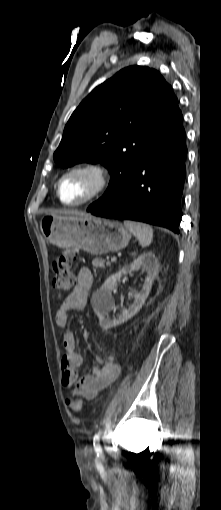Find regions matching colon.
<instances>
[{
	"mask_svg": "<svg viewBox=\"0 0 221 510\" xmlns=\"http://www.w3.org/2000/svg\"><path fill=\"white\" fill-rule=\"evenodd\" d=\"M75 255V251L69 249L59 255L53 262V286L59 292L64 293L69 291L74 284L72 264ZM67 404L74 412H80L84 402L81 397H76L67 400Z\"/></svg>",
	"mask_w": 221,
	"mask_h": 510,
	"instance_id": "1",
	"label": "colon"
}]
</instances>
